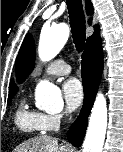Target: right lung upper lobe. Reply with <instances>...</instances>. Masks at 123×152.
<instances>
[{
  "label": "right lung upper lobe",
  "instance_id": "1",
  "mask_svg": "<svg viewBox=\"0 0 123 152\" xmlns=\"http://www.w3.org/2000/svg\"><path fill=\"white\" fill-rule=\"evenodd\" d=\"M86 9L89 14L93 13V7H92L90 0H86ZM91 22H92V20L90 19L89 23H91ZM94 30H95V32L90 37H88L87 41H89L90 39H92L95 36H99V26L98 25L94 26ZM17 90H18L17 86L15 85L14 81H12L10 84V88H9V95L15 94Z\"/></svg>",
  "mask_w": 123,
  "mask_h": 152
}]
</instances>
